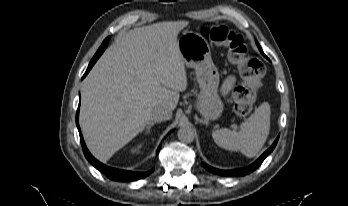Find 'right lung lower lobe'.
<instances>
[{"label": "right lung lower lobe", "instance_id": "98d812e1", "mask_svg": "<svg viewBox=\"0 0 348 206\" xmlns=\"http://www.w3.org/2000/svg\"><path fill=\"white\" fill-rule=\"evenodd\" d=\"M107 42L108 40H104L103 43L101 44L100 48L97 50L96 54L94 55V57L92 58L91 62L89 63V66L83 76V78L87 75V73L90 71V69L93 67V65L95 64V62L98 60V58L101 56V54L104 52L106 46H107ZM78 115H79V107L77 110V114H76V124L79 130V135H80V141H81V145L83 148V152L85 157L87 158V160L99 171H101L102 173H104L108 178L115 180V181H133V180H138V179H142L146 176H148L151 172H153L154 169H152L149 172H132V171H127V170H119V169H115V168H110L102 163H100L99 161H97L88 151V149L86 148V145L84 143L82 134H81V130H80V126L78 124ZM160 147L158 148L157 152H159Z\"/></svg>", "mask_w": 348, "mask_h": 206}]
</instances>
